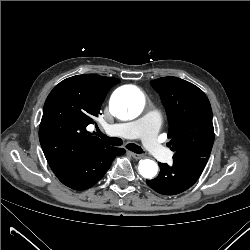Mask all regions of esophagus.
Instances as JSON below:
<instances>
[{"mask_svg":"<svg viewBox=\"0 0 250 250\" xmlns=\"http://www.w3.org/2000/svg\"><path fill=\"white\" fill-rule=\"evenodd\" d=\"M134 159H142L143 155L141 154H137V153H133V152H128Z\"/></svg>","mask_w":250,"mask_h":250,"instance_id":"34e87169","label":"esophagus"}]
</instances>
